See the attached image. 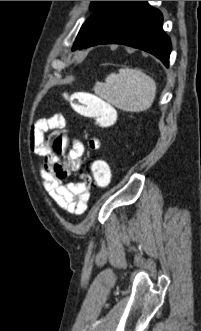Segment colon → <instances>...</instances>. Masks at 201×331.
Segmentation results:
<instances>
[{
    "label": "colon",
    "mask_w": 201,
    "mask_h": 331,
    "mask_svg": "<svg viewBox=\"0 0 201 331\" xmlns=\"http://www.w3.org/2000/svg\"><path fill=\"white\" fill-rule=\"evenodd\" d=\"M70 103L73 109L90 120L100 129L108 128L116 122V110L99 95L89 92H76L71 95ZM63 137L57 136L53 141V151L61 153ZM93 183L100 189H105L111 182V170L103 160H95L91 163Z\"/></svg>",
    "instance_id": "1"
}]
</instances>
